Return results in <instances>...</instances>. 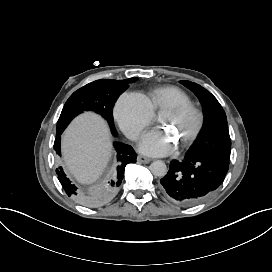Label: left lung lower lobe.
Returning <instances> with one entry per match:
<instances>
[{"label": "left lung lower lobe", "mask_w": 272, "mask_h": 272, "mask_svg": "<svg viewBox=\"0 0 272 272\" xmlns=\"http://www.w3.org/2000/svg\"><path fill=\"white\" fill-rule=\"evenodd\" d=\"M228 167L229 159L218 155H189L182 162H171L159 188L172 203L191 206L222 184Z\"/></svg>", "instance_id": "0a47b994"}]
</instances>
